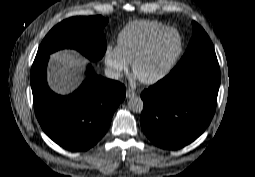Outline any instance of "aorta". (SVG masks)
Wrapping results in <instances>:
<instances>
[{
    "mask_svg": "<svg viewBox=\"0 0 255 177\" xmlns=\"http://www.w3.org/2000/svg\"><path fill=\"white\" fill-rule=\"evenodd\" d=\"M128 109L133 113H141L144 107L140 97H131L127 102Z\"/></svg>",
    "mask_w": 255,
    "mask_h": 177,
    "instance_id": "obj_1",
    "label": "aorta"
}]
</instances>
